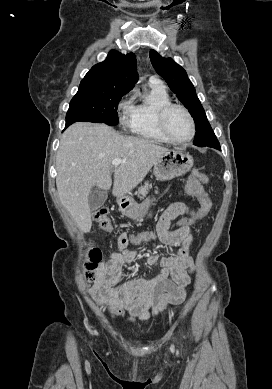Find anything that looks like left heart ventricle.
Masks as SVG:
<instances>
[{
	"label": "left heart ventricle",
	"instance_id": "1",
	"mask_svg": "<svg viewBox=\"0 0 272 389\" xmlns=\"http://www.w3.org/2000/svg\"><path fill=\"white\" fill-rule=\"evenodd\" d=\"M167 128L170 134L179 140L186 139L191 134L190 122L180 109H173L167 117Z\"/></svg>",
	"mask_w": 272,
	"mask_h": 389
}]
</instances>
